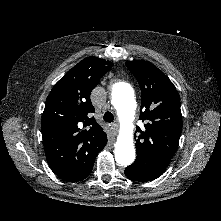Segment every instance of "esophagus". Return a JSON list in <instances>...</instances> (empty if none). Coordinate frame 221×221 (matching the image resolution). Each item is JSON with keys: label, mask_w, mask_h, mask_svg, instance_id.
Here are the masks:
<instances>
[{"label": "esophagus", "mask_w": 221, "mask_h": 221, "mask_svg": "<svg viewBox=\"0 0 221 221\" xmlns=\"http://www.w3.org/2000/svg\"><path fill=\"white\" fill-rule=\"evenodd\" d=\"M111 129L113 131V134L116 135L117 132H118V123L117 122H114L111 124Z\"/></svg>", "instance_id": "esophagus-1"}]
</instances>
